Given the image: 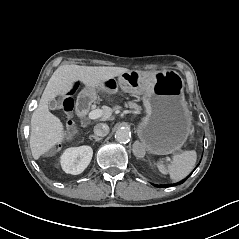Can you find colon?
Here are the masks:
<instances>
[{"instance_id": "5ec220e1", "label": "colon", "mask_w": 239, "mask_h": 239, "mask_svg": "<svg viewBox=\"0 0 239 239\" xmlns=\"http://www.w3.org/2000/svg\"><path fill=\"white\" fill-rule=\"evenodd\" d=\"M74 107V100L72 97H68L64 102V109L68 112L72 111ZM70 129H73V124L69 125Z\"/></svg>"}]
</instances>
